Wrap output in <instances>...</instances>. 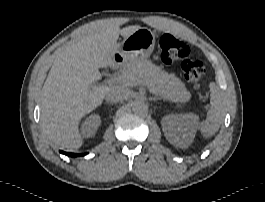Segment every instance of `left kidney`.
Masks as SVG:
<instances>
[{"label": "left kidney", "mask_w": 265, "mask_h": 202, "mask_svg": "<svg viewBox=\"0 0 265 202\" xmlns=\"http://www.w3.org/2000/svg\"><path fill=\"white\" fill-rule=\"evenodd\" d=\"M198 119L193 113L163 117L161 124L166 139L176 147L187 148L194 140Z\"/></svg>", "instance_id": "5707ae66"}]
</instances>
